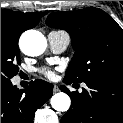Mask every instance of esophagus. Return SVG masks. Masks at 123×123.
I'll use <instances>...</instances> for the list:
<instances>
[{
	"label": "esophagus",
	"mask_w": 123,
	"mask_h": 123,
	"mask_svg": "<svg viewBox=\"0 0 123 123\" xmlns=\"http://www.w3.org/2000/svg\"><path fill=\"white\" fill-rule=\"evenodd\" d=\"M58 90H59L58 86L57 85H54L53 86V92L56 93V92H58Z\"/></svg>",
	"instance_id": "1"
}]
</instances>
